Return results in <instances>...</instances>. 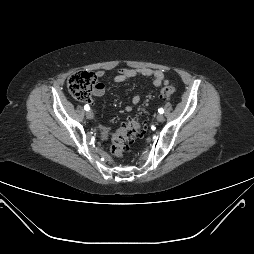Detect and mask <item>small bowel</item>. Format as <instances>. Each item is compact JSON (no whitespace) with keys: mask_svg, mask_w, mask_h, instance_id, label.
I'll return each mask as SVG.
<instances>
[{"mask_svg":"<svg viewBox=\"0 0 254 254\" xmlns=\"http://www.w3.org/2000/svg\"><path fill=\"white\" fill-rule=\"evenodd\" d=\"M103 71H98L97 76L102 77ZM133 78H147L150 79L155 87H159L162 84H167L168 81L165 78L164 73L161 70L150 69V68H121L117 71V74L113 78L114 83H122ZM105 93V85L101 82L98 83L97 87L93 90V95L100 97ZM141 101L140 95L136 94L132 97V104L137 105ZM91 103V100H88ZM127 112L132 111V106L128 105L125 107ZM103 137H108L110 132L107 127L101 128Z\"/></svg>","mask_w":254,"mask_h":254,"instance_id":"c3829d8e","label":"small bowel"}]
</instances>
